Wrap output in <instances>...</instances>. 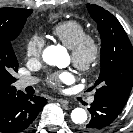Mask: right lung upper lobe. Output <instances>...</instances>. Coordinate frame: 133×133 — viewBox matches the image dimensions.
<instances>
[{"instance_id":"1","label":"right lung upper lobe","mask_w":133,"mask_h":133,"mask_svg":"<svg viewBox=\"0 0 133 133\" xmlns=\"http://www.w3.org/2000/svg\"><path fill=\"white\" fill-rule=\"evenodd\" d=\"M19 10H24V9H20V8H0V19H4L7 21H10L11 19H13L16 15V13L19 11ZM27 10V9H25ZM29 10H32V9H29ZM3 95H0V98L2 97Z\"/></svg>"}]
</instances>
